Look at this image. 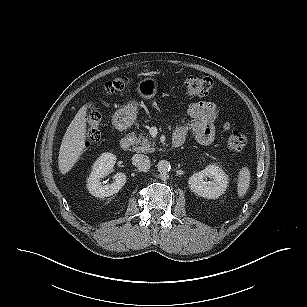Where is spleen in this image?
Masks as SVG:
<instances>
[{
	"instance_id": "3e777b00",
	"label": "spleen",
	"mask_w": 307,
	"mask_h": 307,
	"mask_svg": "<svg viewBox=\"0 0 307 307\" xmlns=\"http://www.w3.org/2000/svg\"><path fill=\"white\" fill-rule=\"evenodd\" d=\"M250 185V170L248 167H243L238 176L237 191L238 196L242 198L248 191Z\"/></svg>"
}]
</instances>
